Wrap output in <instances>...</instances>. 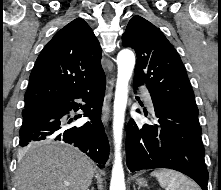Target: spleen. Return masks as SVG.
<instances>
[{"label": "spleen", "mask_w": 221, "mask_h": 190, "mask_svg": "<svg viewBox=\"0 0 221 190\" xmlns=\"http://www.w3.org/2000/svg\"><path fill=\"white\" fill-rule=\"evenodd\" d=\"M165 190H201L188 177L171 169H156L151 173Z\"/></svg>", "instance_id": "obj_1"}]
</instances>
